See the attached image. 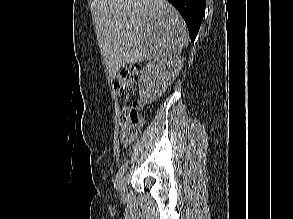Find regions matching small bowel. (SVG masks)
<instances>
[{"instance_id":"c3829d8e","label":"small bowel","mask_w":293,"mask_h":219,"mask_svg":"<svg viewBox=\"0 0 293 219\" xmlns=\"http://www.w3.org/2000/svg\"><path fill=\"white\" fill-rule=\"evenodd\" d=\"M135 137L136 135L134 133L131 134V129L128 126H122L120 131V140L124 147L130 144Z\"/></svg>"}]
</instances>
